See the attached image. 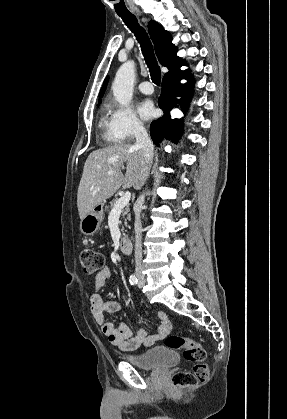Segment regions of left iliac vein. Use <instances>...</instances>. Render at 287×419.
<instances>
[{"mask_svg":"<svg viewBox=\"0 0 287 419\" xmlns=\"http://www.w3.org/2000/svg\"><path fill=\"white\" fill-rule=\"evenodd\" d=\"M145 284V280H144V278H142V277H140V279H139V283H138V287H143V285Z\"/></svg>","mask_w":287,"mask_h":419,"instance_id":"left-iliac-vein-1","label":"left iliac vein"}]
</instances>
